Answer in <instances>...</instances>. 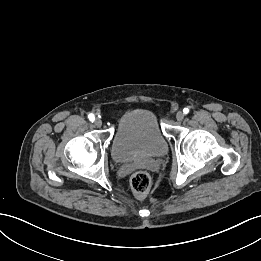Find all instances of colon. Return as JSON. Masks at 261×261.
Listing matches in <instances>:
<instances>
[{
    "label": "colon",
    "mask_w": 261,
    "mask_h": 261,
    "mask_svg": "<svg viewBox=\"0 0 261 261\" xmlns=\"http://www.w3.org/2000/svg\"><path fill=\"white\" fill-rule=\"evenodd\" d=\"M130 185L133 193L139 197H145L151 186V178L146 171H137L132 174Z\"/></svg>",
    "instance_id": "5ec220e1"
}]
</instances>
